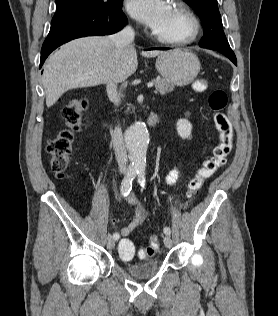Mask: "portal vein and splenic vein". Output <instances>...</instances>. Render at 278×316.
<instances>
[{"label": "portal vein and splenic vein", "instance_id": "obj_1", "mask_svg": "<svg viewBox=\"0 0 278 316\" xmlns=\"http://www.w3.org/2000/svg\"><path fill=\"white\" fill-rule=\"evenodd\" d=\"M153 85H154L153 82H149V83L147 84V87H148V88H152Z\"/></svg>", "mask_w": 278, "mask_h": 316}]
</instances>
